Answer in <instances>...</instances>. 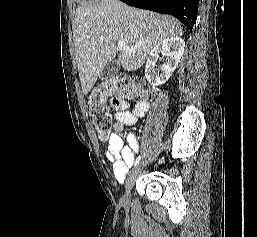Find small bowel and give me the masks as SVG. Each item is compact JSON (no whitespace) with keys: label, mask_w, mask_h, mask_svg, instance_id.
Instances as JSON below:
<instances>
[{"label":"small bowel","mask_w":257,"mask_h":237,"mask_svg":"<svg viewBox=\"0 0 257 237\" xmlns=\"http://www.w3.org/2000/svg\"><path fill=\"white\" fill-rule=\"evenodd\" d=\"M114 108L117 110L113 124L115 133L110 138L105 156L112 165L115 180L123 183L134 162V155L139 150V144L134 133L127 135L125 143L120 132L125 126L135 125L147 113L149 103L146 100H140L133 105L121 102L114 104Z\"/></svg>","instance_id":"obj_1"}]
</instances>
